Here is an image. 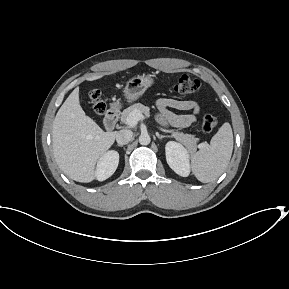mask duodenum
Here are the masks:
<instances>
[{
    "label": "duodenum",
    "instance_id": "duodenum-1",
    "mask_svg": "<svg viewBox=\"0 0 289 289\" xmlns=\"http://www.w3.org/2000/svg\"><path fill=\"white\" fill-rule=\"evenodd\" d=\"M119 118V110L112 106L110 107L105 115V119H104V126L107 130H112L114 129V127L117 124Z\"/></svg>",
    "mask_w": 289,
    "mask_h": 289
}]
</instances>
